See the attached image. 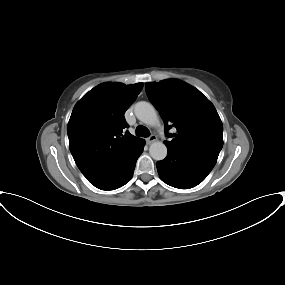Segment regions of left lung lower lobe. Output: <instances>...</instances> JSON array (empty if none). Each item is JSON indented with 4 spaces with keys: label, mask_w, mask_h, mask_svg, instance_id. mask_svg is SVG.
Listing matches in <instances>:
<instances>
[{
    "label": "left lung lower lobe",
    "mask_w": 285,
    "mask_h": 285,
    "mask_svg": "<svg viewBox=\"0 0 285 285\" xmlns=\"http://www.w3.org/2000/svg\"><path fill=\"white\" fill-rule=\"evenodd\" d=\"M214 165L215 163L168 149L167 157L157 162V170L166 184L189 189L201 183Z\"/></svg>",
    "instance_id": "0a47b994"
}]
</instances>
